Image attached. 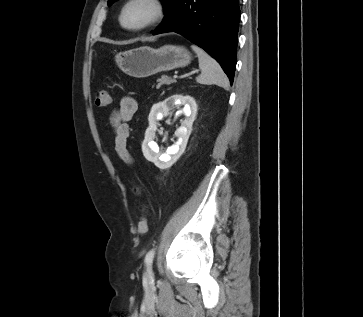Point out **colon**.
Instances as JSON below:
<instances>
[{
  "label": "colon",
  "instance_id": "1",
  "mask_svg": "<svg viewBox=\"0 0 363 317\" xmlns=\"http://www.w3.org/2000/svg\"><path fill=\"white\" fill-rule=\"evenodd\" d=\"M111 103V95L107 89H101L96 93L95 104L98 107H105ZM135 192L141 194V188L139 186L135 187ZM141 210L144 212L145 207L142 206ZM139 233H144L147 230V218L145 216L141 217L137 226Z\"/></svg>",
  "mask_w": 363,
  "mask_h": 317
}]
</instances>
